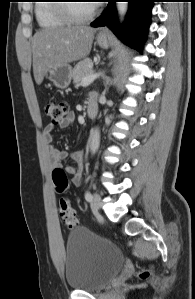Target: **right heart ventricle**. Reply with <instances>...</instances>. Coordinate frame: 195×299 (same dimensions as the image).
<instances>
[{"mask_svg": "<svg viewBox=\"0 0 195 299\" xmlns=\"http://www.w3.org/2000/svg\"><path fill=\"white\" fill-rule=\"evenodd\" d=\"M57 0H40L35 5V17L42 28H57L69 24V21L58 11Z\"/></svg>", "mask_w": 195, "mask_h": 299, "instance_id": "e07e8e85", "label": "right heart ventricle"}]
</instances>
